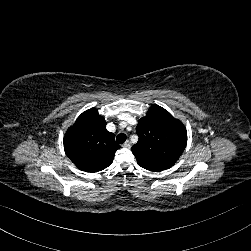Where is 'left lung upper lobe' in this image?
Wrapping results in <instances>:
<instances>
[{
	"instance_id": "1",
	"label": "left lung upper lobe",
	"mask_w": 251,
	"mask_h": 251,
	"mask_svg": "<svg viewBox=\"0 0 251 251\" xmlns=\"http://www.w3.org/2000/svg\"><path fill=\"white\" fill-rule=\"evenodd\" d=\"M138 142L131 148L141 167L166 170L172 167L187 144L181 121L158 105H152L136 127Z\"/></svg>"
}]
</instances>
